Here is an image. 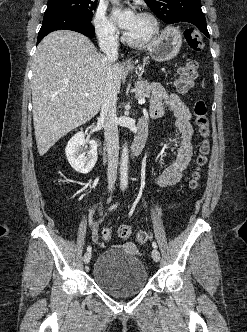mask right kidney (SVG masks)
<instances>
[{"instance_id":"ca27d5eb","label":"right kidney","mask_w":247,"mask_h":332,"mask_svg":"<svg viewBox=\"0 0 247 332\" xmlns=\"http://www.w3.org/2000/svg\"><path fill=\"white\" fill-rule=\"evenodd\" d=\"M86 144L90 145V151L83 150ZM65 154L71 167L82 174L89 173L97 161V142L86 140L83 132L76 133L65 148Z\"/></svg>"}]
</instances>
